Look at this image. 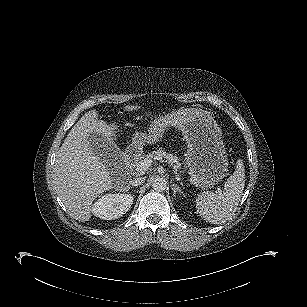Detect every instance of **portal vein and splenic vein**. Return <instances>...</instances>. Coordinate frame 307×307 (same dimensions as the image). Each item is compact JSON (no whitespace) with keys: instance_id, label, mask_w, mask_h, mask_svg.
I'll return each instance as SVG.
<instances>
[{"instance_id":"portal-vein-and-splenic-vein-1","label":"portal vein and splenic vein","mask_w":307,"mask_h":307,"mask_svg":"<svg viewBox=\"0 0 307 307\" xmlns=\"http://www.w3.org/2000/svg\"><path fill=\"white\" fill-rule=\"evenodd\" d=\"M150 165H151V160H149V159L141 160V161L136 165V171H137V172H144V171H146L147 169H149Z\"/></svg>"}]
</instances>
